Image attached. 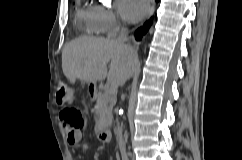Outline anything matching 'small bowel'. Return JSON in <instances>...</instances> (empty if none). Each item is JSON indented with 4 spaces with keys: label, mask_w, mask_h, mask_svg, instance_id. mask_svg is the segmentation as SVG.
Masks as SVG:
<instances>
[{
    "label": "small bowel",
    "mask_w": 242,
    "mask_h": 160,
    "mask_svg": "<svg viewBox=\"0 0 242 160\" xmlns=\"http://www.w3.org/2000/svg\"><path fill=\"white\" fill-rule=\"evenodd\" d=\"M63 121V130L65 132L66 140L69 145L75 146L82 140V135L79 129H73L61 116Z\"/></svg>",
    "instance_id": "c3829d8e"
}]
</instances>
